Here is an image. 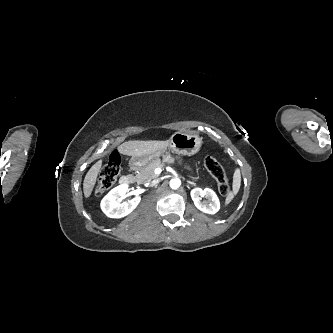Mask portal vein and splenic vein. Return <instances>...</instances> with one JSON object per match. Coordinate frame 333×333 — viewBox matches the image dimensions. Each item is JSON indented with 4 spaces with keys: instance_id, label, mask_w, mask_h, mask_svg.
<instances>
[{
    "instance_id": "portal-vein-and-splenic-vein-1",
    "label": "portal vein and splenic vein",
    "mask_w": 333,
    "mask_h": 333,
    "mask_svg": "<svg viewBox=\"0 0 333 333\" xmlns=\"http://www.w3.org/2000/svg\"><path fill=\"white\" fill-rule=\"evenodd\" d=\"M161 171H162L161 168H157V172H158L157 174H160Z\"/></svg>"
}]
</instances>
